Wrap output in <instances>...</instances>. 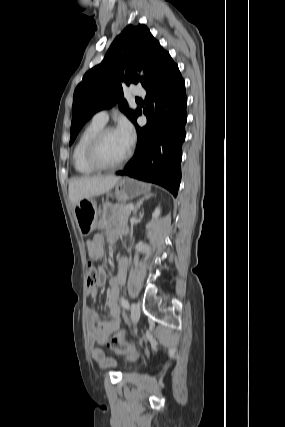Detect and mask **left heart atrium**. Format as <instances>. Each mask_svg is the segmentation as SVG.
I'll return each instance as SVG.
<instances>
[{
	"label": "left heart atrium",
	"mask_w": 285,
	"mask_h": 427,
	"mask_svg": "<svg viewBox=\"0 0 285 427\" xmlns=\"http://www.w3.org/2000/svg\"><path fill=\"white\" fill-rule=\"evenodd\" d=\"M116 131L123 139L127 147L130 148L135 141V130L132 124L128 120L123 119L119 122Z\"/></svg>",
	"instance_id": "39dd6f15"
}]
</instances>
